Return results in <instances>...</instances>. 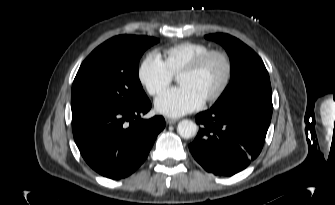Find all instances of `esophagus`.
Here are the masks:
<instances>
[{
	"label": "esophagus",
	"instance_id": "esophagus-1",
	"mask_svg": "<svg viewBox=\"0 0 335 205\" xmlns=\"http://www.w3.org/2000/svg\"><path fill=\"white\" fill-rule=\"evenodd\" d=\"M178 120L174 119V118H166V123L167 124H174L176 123Z\"/></svg>",
	"mask_w": 335,
	"mask_h": 205
}]
</instances>
